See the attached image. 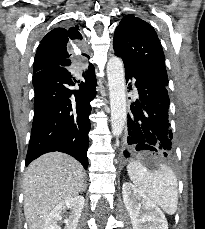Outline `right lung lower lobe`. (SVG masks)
I'll use <instances>...</instances> for the list:
<instances>
[{
    "mask_svg": "<svg viewBox=\"0 0 205 229\" xmlns=\"http://www.w3.org/2000/svg\"><path fill=\"white\" fill-rule=\"evenodd\" d=\"M85 83L79 90L74 85L68 68L51 66L33 75L35 90L34 119L25 165L40 155L59 151L77 159L88 167L89 115L96 95V77L93 65L84 75Z\"/></svg>",
    "mask_w": 205,
    "mask_h": 229,
    "instance_id": "98d812e1",
    "label": "right lung lower lobe"
}]
</instances>
